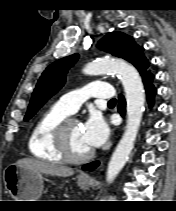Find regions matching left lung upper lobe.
<instances>
[{
  "label": "left lung upper lobe",
  "instance_id": "5c2ea615",
  "mask_svg": "<svg viewBox=\"0 0 176 211\" xmlns=\"http://www.w3.org/2000/svg\"><path fill=\"white\" fill-rule=\"evenodd\" d=\"M99 46L104 51L132 63L143 78L152 76L146 71L148 61L142 54L143 49L134 42L132 37L121 32H111L101 39ZM78 57V54L64 57L46 68L32 94L25 121L29 120L51 96L62 88L68 69L78 60Z\"/></svg>",
  "mask_w": 176,
  "mask_h": 211
}]
</instances>
